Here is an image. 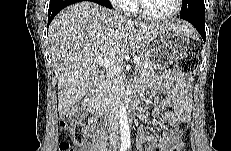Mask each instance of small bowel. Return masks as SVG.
Wrapping results in <instances>:
<instances>
[{"mask_svg":"<svg viewBox=\"0 0 231 151\" xmlns=\"http://www.w3.org/2000/svg\"><path fill=\"white\" fill-rule=\"evenodd\" d=\"M147 87L160 95L154 100L153 105L163 113V119L171 129L160 136L150 134L140 127L136 139L137 150L171 151L176 144L183 146L184 142L177 140L176 130L190 121V81L178 71L170 70L152 80ZM143 89L139 87V91ZM97 120L96 116L89 118L87 140L82 144L83 151H106L104 133L97 126ZM152 121L157 122L158 118L152 115Z\"/></svg>","mask_w":231,"mask_h":151,"instance_id":"c3829d8e","label":"small bowel"}]
</instances>
